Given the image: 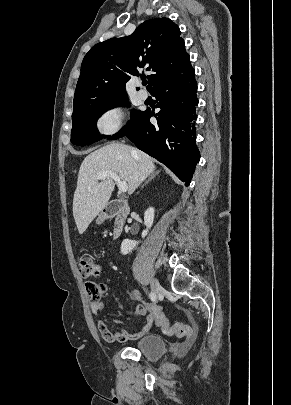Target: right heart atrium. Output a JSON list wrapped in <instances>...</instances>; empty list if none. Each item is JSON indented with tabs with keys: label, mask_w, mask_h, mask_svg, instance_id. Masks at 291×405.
I'll return each instance as SVG.
<instances>
[{
	"label": "right heart atrium",
	"mask_w": 291,
	"mask_h": 405,
	"mask_svg": "<svg viewBox=\"0 0 291 405\" xmlns=\"http://www.w3.org/2000/svg\"><path fill=\"white\" fill-rule=\"evenodd\" d=\"M125 110L120 106H111L103 110L95 121L99 135L110 136L117 133L124 125Z\"/></svg>",
	"instance_id": "right-heart-atrium-1"
}]
</instances>
